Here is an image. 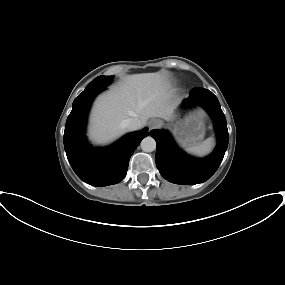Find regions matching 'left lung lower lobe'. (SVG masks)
I'll return each instance as SVG.
<instances>
[{
	"label": "left lung lower lobe",
	"instance_id": "0a47b994",
	"mask_svg": "<svg viewBox=\"0 0 285 285\" xmlns=\"http://www.w3.org/2000/svg\"><path fill=\"white\" fill-rule=\"evenodd\" d=\"M202 105L211 115L217 132L218 144L209 157L196 159L180 150L170 134L164 130H152L150 135L156 140V165L161 175L168 181L190 185L208 180L218 169L228 146L227 122L216 96L207 89L195 88L183 101L184 107Z\"/></svg>",
	"mask_w": 285,
	"mask_h": 285
}]
</instances>
